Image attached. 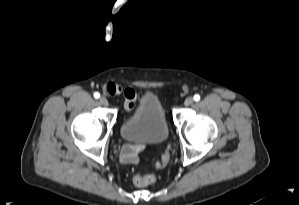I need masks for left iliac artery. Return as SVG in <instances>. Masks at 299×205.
I'll use <instances>...</instances> for the list:
<instances>
[{"instance_id":"obj_1","label":"left iliac artery","mask_w":299,"mask_h":205,"mask_svg":"<svg viewBox=\"0 0 299 205\" xmlns=\"http://www.w3.org/2000/svg\"><path fill=\"white\" fill-rule=\"evenodd\" d=\"M194 100H195V101H199V100H200V95L195 94V95H194Z\"/></svg>"}]
</instances>
